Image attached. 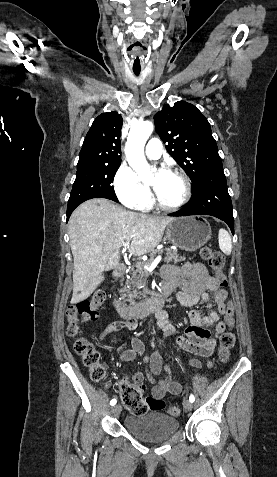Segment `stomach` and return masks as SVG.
Masks as SVG:
<instances>
[{
    "instance_id": "0dacf381",
    "label": "stomach",
    "mask_w": 277,
    "mask_h": 477,
    "mask_svg": "<svg viewBox=\"0 0 277 477\" xmlns=\"http://www.w3.org/2000/svg\"><path fill=\"white\" fill-rule=\"evenodd\" d=\"M211 234L209 222L198 216L174 218L166 229L167 240L188 252L196 251L204 246L211 239Z\"/></svg>"
}]
</instances>
